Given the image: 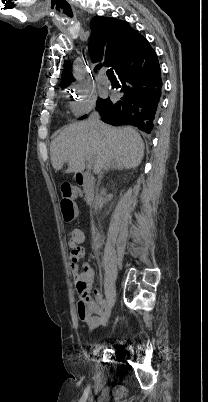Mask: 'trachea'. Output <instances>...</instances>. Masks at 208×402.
Wrapping results in <instances>:
<instances>
[{"label": "trachea", "instance_id": "obj_1", "mask_svg": "<svg viewBox=\"0 0 208 402\" xmlns=\"http://www.w3.org/2000/svg\"><path fill=\"white\" fill-rule=\"evenodd\" d=\"M106 73L109 78H116L112 68H109Z\"/></svg>", "mask_w": 208, "mask_h": 402}]
</instances>
